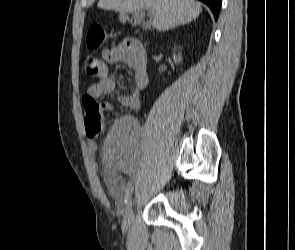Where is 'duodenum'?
<instances>
[{
  "instance_id": "duodenum-1",
  "label": "duodenum",
  "mask_w": 295,
  "mask_h": 250,
  "mask_svg": "<svg viewBox=\"0 0 295 250\" xmlns=\"http://www.w3.org/2000/svg\"><path fill=\"white\" fill-rule=\"evenodd\" d=\"M141 25H144L145 26L146 24L142 22Z\"/></svg>"
}]
</instances>
